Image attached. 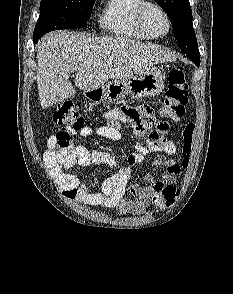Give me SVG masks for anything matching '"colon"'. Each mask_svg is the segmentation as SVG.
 Instances as JSON below:
<instances>
[{"label": "colon", "mask_w": 233, "mask_h": 294, "mask_svg": "<svg viewBox=\"0 0 233 294\" xmlns=\"http://www.w3.org/2000/svg\"><path fill=\"white\" fill-rule=\"evenodd\" d=\"M188 102V84L182 66L174 68L168 77V86L165 97L159 109V114L168 119L179 120L185 114V107ZM131 108V107H122ZM54 122L63 129L56 134L57 148L63 149L71 145V134L69 130L79 131L85 126L83 116L70 102L59 104L53 115ZM195 125L188 122L181 131L182 139V166H188ZM179 196V190L175 186H167L158 192L153 203L158 210H164L171 206Z\"/></svg>", "instance_id": "obj_1"}]
</instances>
